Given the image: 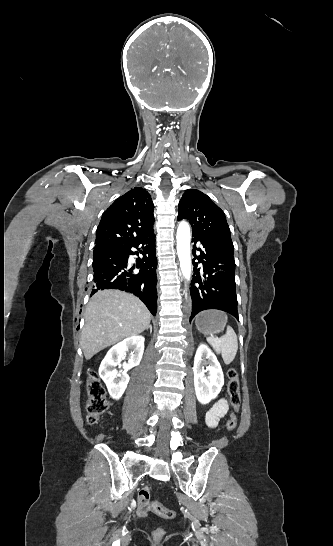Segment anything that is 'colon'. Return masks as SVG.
<instances>
[{"label":"colon","mask_w":333,"mask_h":546,"mask_svg":"<svg viewBox=\"0 0 333 546\" xmlns=\"http://www.w3.org/2000/svg\"><path fill=\"white\" fill-rule=\"evenodd\" d=\"M227 378V393L233 413L228 419L226 427L228 430H234L237 425L235 413L239 410L241 404L240 384L238 374L235 369L231 368L227 371ZM87 394V420L90 424H95L107 411L109 401L107 399L106 389L94 370L90 371L89 373ZM151 508L155 514L164 519H173L176 517V512L174 510L164 507L158 501H153L151 503ZM154 535L160 539L164 535V530L158 528L155 530Z\"/></svg>","instance_id":"1"}]
</instances>
